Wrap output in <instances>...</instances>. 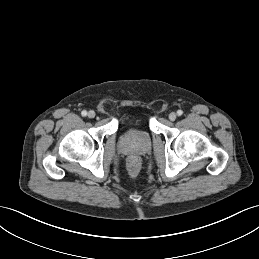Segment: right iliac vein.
Instances as JSON below:
<instances>
[{
    "label": "right iliac vein",
    "instance_id": "right-iliac-vein-1",
    "mask_svg": "<svg viewBox=\"0 0 259 259\" xmlns=\"http://www.w3.org/2000/svg\"><path fill=\"white\" fill-rule=\"evenodd\" d=\"M95 115H96L95 112L92 111V110L88 112V117L91 118V119L94 118Z\"/></svg>",
    "mask_w": 259,
    "mask_h": 259
}]
</instances>
